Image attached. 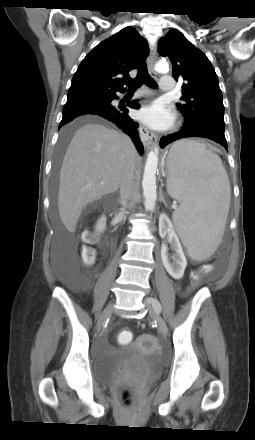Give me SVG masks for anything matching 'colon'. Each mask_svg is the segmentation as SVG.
<instances>
[{
	"label": "colon",
	"instance_id": "obj_1",
	"mask_svg": "<svg viewBox=\"0 0 255 440\" xmlns=\"http://www.w3.org/2000/svg\"><path fill=\"white\" fill-rule=\"evenodd\" d=\"M87 238L90 239V240H93L94 239V235L93 234H89L87 236ZM85 258L87 260H91L93 258V252H92V250L90 248H88L85 251ZM132 339H133V334L130 331H128V330L120 331L119 334H118V341L121 344H128V343H130L132 341ZM123 399L126 402H128V403H132L134 401L133 396L129 392H124Z\"/></svg>",
	"mask_w": 255,
	"mask_h": 440
}]
</instances>
